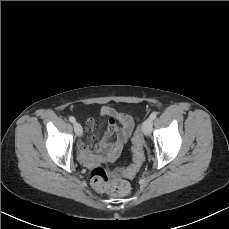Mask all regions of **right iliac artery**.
<instances>
[{"label": "right iliac artery", "mask_w": 229, "mask_h": 229, "mask_svg": "<svg viewBox=\"0 0 229 229\" xmlns=\"http://www.w3.org/2000/svg\"><path fill=\"white\" fill-rule=\"evenodd\" d=\"M69 120H70V122H72V123H75V122H76L75 118L72 117V116L69 117Z\"/></svg>", "instance_id": "1"}]
</instances>
